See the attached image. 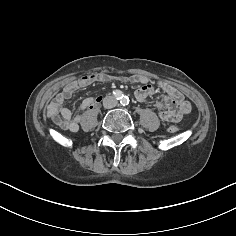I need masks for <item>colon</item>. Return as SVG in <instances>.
<instances>
[{
    "mask_svg": "<svg viewBox=\"0 0 236 236\" xmlns=\"http://www.w3.org/2000/svg\"><path fill=\"white\" fill-rule=\"evenodd\" d=\"M177 130H178V129H177L175 126H171V127H170V131H171V132H176Z\"/></svg>",
    "mask_w": 236,
    "mask_h": 236,
    "instance_id": "1",
    "label": "colon"
}]
</instances>
